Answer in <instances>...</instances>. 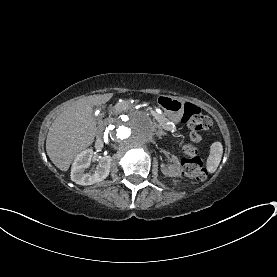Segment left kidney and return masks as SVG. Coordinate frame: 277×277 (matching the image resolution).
I'll list each match as a JSON object with an SVG mask.
<instances>
[{
  "label": "left kidney",
  "instance_id": "1",
  "mask_svg": "<svg viewBox=\"0 0 277 277\" xmlns=\"http://www.w3.org/2000/svg\"><path fill=\"white\" fill-rule=\"evenodd\" d=\"M172 158H173V166L169 170H167L164 168L163 164L161 163L160 165L161 171L165 176L178 177L181 175L180 162L176 156L172 155Z\"/></svg>",
  "mask_w": 277,
  "mask_h": 277
}]
</instances>
